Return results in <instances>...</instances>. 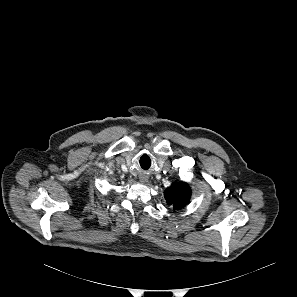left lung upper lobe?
<instances>
[{
    "mask_svg": "<svg viewBox=\"0 0 297 297\" xmlns=\"http://www.w3.org/2000/svg\"><path fill=\"white\" fill-rule=\"evenodd\" d=\"M164 195L169 205H172L175 209H180L188 203L191 190L188 184L179 182L167 188Z\"/></svg>",
    "mask_w": 297,
    "mask_h": 297,
    "instance_id": "obj_1",
    "label": "left lung upper lobe"
}]
</instances>
